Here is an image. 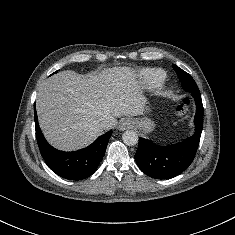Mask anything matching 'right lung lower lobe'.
<instances>
[{
  "instance_id": "obj_1",
  "label": "right lung lower lobe",
  "mask_w": 235,
  "mask_h": 235,
  "mask_svg": "<svg viewBox=\"0 0 235 235\" xmlns=\"http://www.w3.org/2000/svg\"><path fill=\"white\" fill-rule=\"evenodd\" d=\"M36 138L40 153L49 168L65 179L82 180L91 176L103 158L112 130L100 136L88 147L74 151L63 152L53 148L44 138L39 128L36 109L34 107Z\"/></svg>"
}]
</instances>
